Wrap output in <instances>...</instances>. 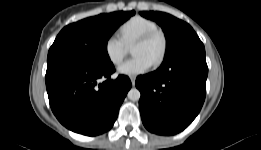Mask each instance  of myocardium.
I'll use <instances>...</instances> for the list:
<instances>
[{"instance_id": "obj_1", "label": "myocardium", "mask_w": 261, "mask_h": 150, "mask_svg": "<svg viewBox=\"0 0 261 150\" xmlns=\"http://www.w3.org/2000/svg\"><path fill=\"white\" fill-rule=\"evenodd\" d=\"M156 37H160L161 42H162V46H161V50L157 56V58L155 59V61L153 62V66H159L165 59L166 54H167V50H168V39L167 36L165 34V32L159 28L151 30L145 34H143L142 36H140L135 42L134 44H144V43H149L151 42L153 39H155Z\"/></svg>"}]
</instances>
